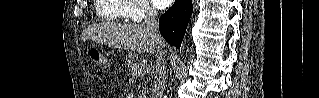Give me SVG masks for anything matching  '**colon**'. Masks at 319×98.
<instances>
[{"instance_id": "5ec220e1", "label": "colon", "mask_w": 319, "mask_h": 98, "mask_svg": "<svg viewBox=\"0 0 319 98\" xmlns=\"http://www.w3.org/2000/svg\"><path fill=\"white\" fill-rule=\"evenodd\" d=\"M90 58L92 62L100 67V68H106L108 66V62L106 58L101 54V52L96 48H91L89 51Z\"/></svg>"}]
</instances>
